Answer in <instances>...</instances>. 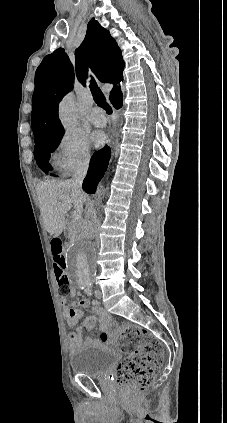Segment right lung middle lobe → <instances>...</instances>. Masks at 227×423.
<instances>
[{"label":"right lung middle lobe","instance_id":"dd1d6c3e","mask_svg":"<svg viewBox=\"0 0 227 423\" xmlns=\"http://www.w3.org/2000/svg\"><path fill=\"white\" fill-rule=\"evenodd\" d=\"M63 134L35 138L34 156L38 166L45 172L51 167L48 160L50 153L59 145Z\"/></svg>","mask_w":227,"mask_h":423}]
</instances>
